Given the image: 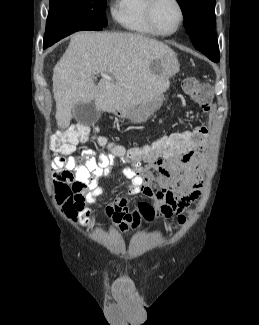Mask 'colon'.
<instances>
[{"mask_svg":"<svg viewBox=\"0 0 259 325\" xmlns=\"http://www.w3.org/2000/svg\"><path fill=\"white\" fill-rule=\"evenodd\" d=\"M182 90L204 110L210 109L212 91L208 85L195 77H187L182 81ZM193 129L181 130V133L175 132L163 136L150 144L135 146L128 150L129 155L133 159L148 160L173 149H199V142H203L207 138L209 130L203 127V125H194ZM88 133L89 127L86 125L68 128L51 139L50 147L55 154H68L74 150L75 145L79 141L87 137ZM97 140L100 145L106 144V139L102 136H99ZM110 150L111 152L118 153L124 149L121 146L111 145ZM137 212L139 216H143L147 220H151L154 217V209L146 203H140ZM188 220V214H180L173 224V228L176 229L186 225Z\"/></svg>","mask_w":259,"mask_h":325,"instance_id":"1","label":"colon"}]
</instances>
